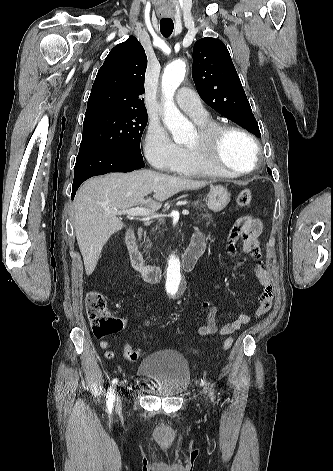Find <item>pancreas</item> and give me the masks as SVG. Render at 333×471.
I'll list each match as a JSON object with an SVG mask.
<instances>
[{"instance_id": "cf45deb5", "label": "pancreas", "mask_w": 333, "mask_h": 471, "mask_svg": "<svg viewBox=\"0 0 333 471\" xmlns=\"http://www.w3.org/2000/svg\"><path fill=\"white\" fill-rule=\"evenodd\" d=\"M192 206H193V208H194L195 210H198V209H199L200 212H201V214L198 215V217H197L198 220L196 221V223H200V222H202L204 219L207 220V223H206L207 226H208L210 223H212V215L209 214L207 210L203 209V208H204V205L200 204L199 201H194V202L192 203ZM203 210H204V212H202ZM200 217H201V218H200ZM155 230H157V228H156ZM153 231H154V229H153ZM147 242H148L147 247H148V248L151 247V243H150L149 239H147Z\"/></svg>"}]
</instances>
